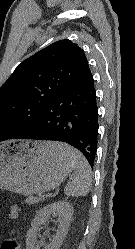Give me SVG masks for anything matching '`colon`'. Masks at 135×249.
<instances>
[{
	"label": "colon",
	"instance_id": "1",
	"mask_svg": "<svg viewBox=\"0 0 135 249\" xmlns=\"http://www.w3.org/2000/svg\"><path fill=\"white\" fill-rule=\"evenodd\" d=\"M0 249H19V243L14 238H8L1 243Z\"/></svg>",
	"mask_w": 135,
	"mask_h": 249
}]
</instances>
